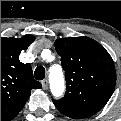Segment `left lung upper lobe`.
<instances>
[{
	"label": "left lung upper lobe",
	"mask_w": 121,
	"mask_h": 121,
	"mask_svg": "<svg viewBox=\"0 0 121 121\" xmlns=\"http://www.w3.org/2000/svg\"><path fill=\"white\" fill-rule=\"evenodd\" d=\"M65 71L66 93L53 100L64 115L82 119L94 115L110 99L116 84V71L109 53L88 37L55 41Z\"/></svg>",
	"instance_id": "5c2ea615"
}]
</instances>
